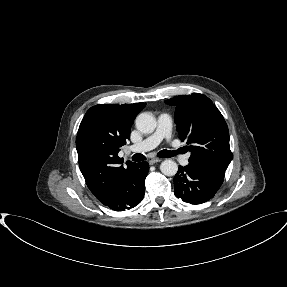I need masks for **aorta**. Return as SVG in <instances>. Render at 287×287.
Listing matches in <instances>:
<instances>
[{
	"label": "aorta",
	"instance_id": "1",
	"mask_svg": "<svg viewBox=\"0 0 287 287\" xmlns=\"http://www.w3.org/2000/svg\"><path fill=\"white\" fill-rule=\"evenodd\" d=\"M135 123L136 128L144 134L154 132L157 125L155 116L150 112L139 114ZM160 170L166 176H174L178 171V165L173 160H164L160 165Z\"/></svg>",
	"mask_w": 287,
	"mask_h": 287
}]
</instances>
